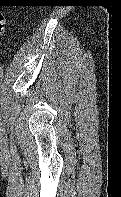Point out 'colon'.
Wrapping results in <instances>:
<instances>
[{"instance_id": "colon-1", "label": "colon", "mask_w": 121, "mask_h": 197, "mask_svg": "<svg viewBox=\"0 0 121 197\" xmlns=\"http://www.w3.org/2000/svg\"><path fill=\"white\" fill-rule=\"evenodd\" d=\"M6 16L5 14L0 11V37L3 35L5 28H6Z\"/></svg>"}]
</instances>
